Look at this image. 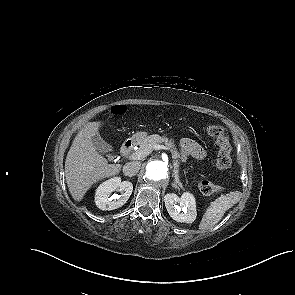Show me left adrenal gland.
<instances>
[{
    "instance_id": "a2214340",
    "label": "left adrenal gland",
    "mask_w": 295,
    "mask_h": 295,
    "mask_svg": "<svg viewBox=\"0 0 295 295\" xmlns=\"http://www.w3.org/2000/svg\"><path fill=\"white\" fill-rule=\"evenodd\" d=\"M172 186H173L174 188H178V189H179V187H178V185H177L176 182H174V183L172 184Z\"/></svg>"
}]
</instances>
